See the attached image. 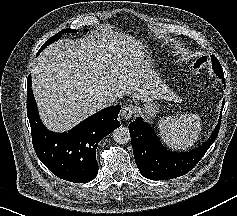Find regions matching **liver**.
I'll use <instances>...</instances> for the list:
<instances>
[{
	"instance_id": "1",
	"label": "liver",
	"mask_w": 237,
	"mask_h": 216,
	"mask_svg": "<svg viewBox=\"0 0 237 216\" xmlns=\"http://www.w3.org/2000/svg\"><path fill=\"white\" fill-rule=\"evenodd\" d=\"M32 75L43 120L57 130L102 108L100 98L108 91L119 98L131 93L148 102L159 94L141 66L121 65L117 44L107 35L58 41L41 54Z\"/></svg>"
}]
</instances>
